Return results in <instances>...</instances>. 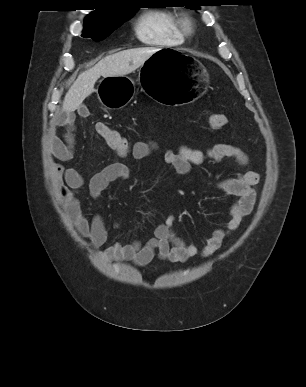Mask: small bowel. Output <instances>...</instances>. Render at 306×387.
<instances>
[{"mask_svg": "<svg viewBox=\"0 0 306 387\" xmlns=\"http://www.w3.org/2000/svg\"><path fill=\"white\" fill-rule=\"evenodd\" d=\"M53 129H63L62 135H50V152L60 161L72 157L74 144V115L67 113L59 116L53 123ZM162 151L163 159L172 165L182 176L190 174L192 167L205 161H220L232 158L241 166H248L247 155L238 147L228 144H215L205 150L181 145L177 149L161 150L154 140H139L132 144L128 155L134 160L146 159ZM57 196L63 209L76 227L80 235L88 239L94 248L102 247L108 238L106 224L100 215L89 220L81 207L77 194L84 188V178L75 168H66L60 163L52 167ZM130 167L124 163L115 162L105 166L95 173L87 184L91 198L98 199L107 187L114 181L127 180L130 177ZM259 176L255 171L247 170L234 177L222 179L216 183L217 188L232 197L228 209V220L221 221L219 226L207 239L201 255L208 257L215 253L229 234L235 231L243 219L253 209L256 193L254 186ZM175 216L169 215L153 229L152 236L145 242L135 240L128 244L114 243L100 252L102 258L108 261H127L136 266L149 264L157 255L162 260L170 262H185L198 255V248L186 243L174 232Z\"/></svg>", "mask_w": 306, "mask_h": 387, "instance_id": "c3829d8e", "label": "small bowel"}]
</instances>
